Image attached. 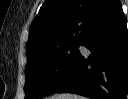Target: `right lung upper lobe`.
Here are the masks:
<instances>
[{
    "mask_svg": "<svg viewBox=\"0 0 128 99\" xmlns=\"http://www.w3.org/2000/svg\"><path fill=\"white\" fill-rule=\"evenodd\" d=\"M121 7L119 0H48L30 26L27 58L84 41Z\"/></svg>",
    "mask_w": 128,
    "mask_h": 99,
    "instance_id": "1",
    "label": "right lung upper lobe"
}]
</instances>
